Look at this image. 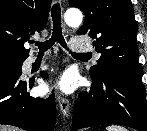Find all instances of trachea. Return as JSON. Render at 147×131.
Listing matches in <instances>:
<instances>
[{
    "mask_svg": "<svg viewBox=\"0 0 147 131\" xmlns=\"http://www.w3.org/2000/svg\"><path fill=\"white\" fill-rule=\"evenodd\" d=\"M51 17L53 20V33L51 38L49 40H46L45 42H36L40 54H43L45 51L50 49L55 42L59 43L62 47L67 48V44L62 35L61 8L59 4H54L52 6ZM88 55L89 54H85V53H72V56L74 57H85Z\"/></svg>",
    "mask_w": 147,
    "mask_h": 131,
    "instance_id": "obj_1",
    "label": "trachea"
}]
</instances>
